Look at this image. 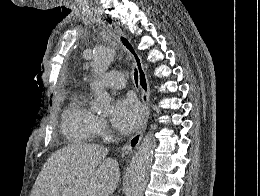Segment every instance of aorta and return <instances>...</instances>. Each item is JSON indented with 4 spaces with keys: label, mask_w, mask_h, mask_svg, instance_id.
Wrapping results in <instances>:
<instances>
[{
    "label": "aorta",
    "mask_w": 260,
    "mask_h": 196,
    "mask_svg": "<svg viewBox=\"0 0 260 196\" xmlns=\"http://www.w3.org/2000/svg\"><path fill=\"white\" fill-rule=\"evenodd\" d=\"M114 56L115 50L113 48L100 47L96 49L91 63L94 74L96 76L104 74L110 67ZM111 101L112 99L106 91L100 90L96 92L95 106L99 111L103 113L108 112ZM152 129H154V126L145 135L140 147L131 160L126 196H143L155 147V138Z\"/></svg>",
    "instance_id": "obj_1"
}]
</instances>
